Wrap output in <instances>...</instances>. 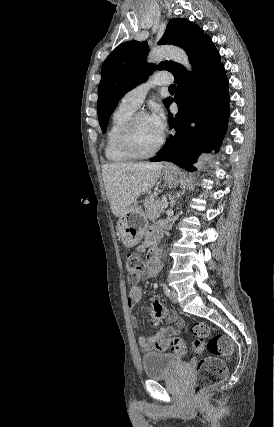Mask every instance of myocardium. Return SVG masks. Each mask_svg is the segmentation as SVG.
Wrapping results in <instances>:
<instances>
[{"mask_svg":"<svg viewBox=\"0 0 274 427\" xmlns=\"http://www.w3.org/2000/svg\"><path fill=\"white\" fill-rule=\"evenodd\" d=\"M148 115L145 111H139L133 114V116L124 125L120 134V145L123 151L131 158L136 160L150 159L155 157L164 147L166 137L163 135L157 146L149 153L141 154L137 152L133 145V133L138 120Z\"/></svg>","mask_w":274,"mask_h":427,"instance_id":"f54148a6","label":"myocardium"}]
</instances>
